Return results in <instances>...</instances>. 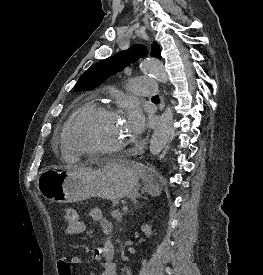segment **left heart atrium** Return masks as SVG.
I'll list each match as a JSON object with an SVG mask.
<instances>
[{
  "label": "left heart atrium",
  "mask_w": 263,
  "mask_h": 275,
  "mask_svg": "<svg viewBox=\"0 0 263 275\" xmlns=\"http://www.w3.org/2000/svg\"><path fill=\"white\" fill-rule=\"evenodd\" d=\"M126 125L134 136L141 133L144 124L142 114L138 109L129 110Z\"/></svg>",
  "instance_id": "left-heart-atrium-1"
}]
</instances>
